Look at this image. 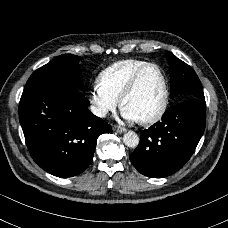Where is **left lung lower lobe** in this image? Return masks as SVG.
I'll list each match as a JSON object with an SVG mask.
<instances>
[{
  "label": "left lung lower lobe",
  "instance_id": "left-lung-lower-lobe-1",
  "mask_svg": "<svg viewBox=\"0 0 228 228\" xmlns=\"http://www.w3.org/2000/svg\"><path fill=\"white\" fill-rule=\"evenodd\" d=\"M205 124V99L192 98L171 107L161 121L140 131V143L130 155L131 163L152 178L175 173L192 156Z\"/></svg>",
  "mask_w": 228,
  "mask_h": 228
}]
</instances>
